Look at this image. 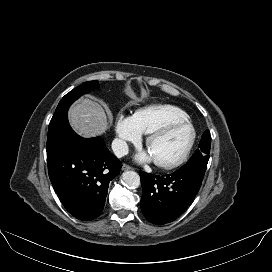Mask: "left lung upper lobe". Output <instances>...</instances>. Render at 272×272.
<instances>
[{"mask_svg":"<svg viewBox=\"0 0 272 272\" xmlns=\"http://www.w3.org/2000/svg\"><path fill=\"white\" fill-rule=\"evenodd\" d=\"M211 146V136L209 130H206L202 135L199 143V149H197L188 162L198 161V160H209Z\"/></svg>","mask_w":272,"mask_h":272,"instance_id":"obj_1","label":"left lung upper lobe"}]
</instances>
